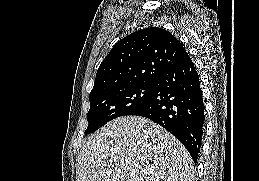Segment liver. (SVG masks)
I'll return each mask as SVG.
<instances>
[{"instance_id": "liver-1", "label": "liver", "mask_w": 259, "mask_h": 181, "mask_svg": "<svg viewBox=\"0 0 259 181\" xmlns=\"http://www.w3.org/2000/svg\"><path fill=\"white\" fill-rule=\"evenodd\" d=\"M192 158L167 130L140 116L119 117L80 150L77 181H193Z\"/></svg>"}]
</instances>
